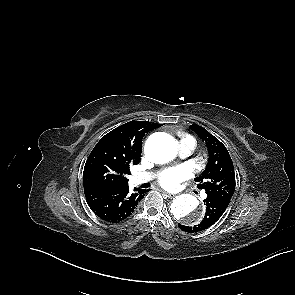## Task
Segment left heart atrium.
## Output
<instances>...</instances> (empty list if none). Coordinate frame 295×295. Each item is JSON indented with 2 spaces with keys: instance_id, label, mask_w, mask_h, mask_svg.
<instances>
[{
  "instance_id": "1",
  "label": "left heart atrium",
  "mask_w": 295,
  "mask_h": 295,
  "mask_svg": "<svg viewBox=\"0 0 295 295\" xmlns=\"http://www.w3.org/2000/svg\"><path fill=\"white\" fill-rule=\"evenodd\" d=\"M190 177V168L186 165H179L162 171L159 174L158 182L162 187L168 190H174L177 189L184 180Z\"/></svg>"
}]
</instances>
